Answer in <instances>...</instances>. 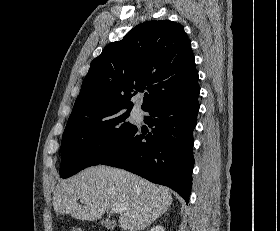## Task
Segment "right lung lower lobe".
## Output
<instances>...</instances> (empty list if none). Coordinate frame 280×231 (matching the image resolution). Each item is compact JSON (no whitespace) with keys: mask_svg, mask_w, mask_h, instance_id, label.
Wrapping results in <instances>:
<instances>
[{"mask_svg":"<svg viewBox=\"0 0 280 231\" xmlns=\"http://www.w3.org/2000/svg\"><path fill=\"white\" fill-rule=\"evenodd\" d=\"M200 88L176 94L145 111L146 134L135 128L100 164L118 167L176 191L188 203L194 158L193 130Z\"/></svg>","mask_w":280,"mask_h":231,"instance_id":"right-lung-lower-lobe-1","label":"right lung lower lobe"}]
</instances>
